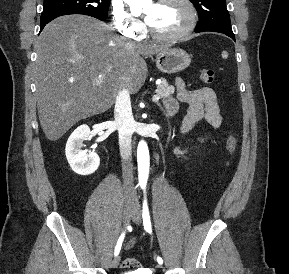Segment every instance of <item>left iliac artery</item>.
<instances>
[{
  "label": "left iliac artery",
  "mask_w": 289,
  "mask_h": 274,
  "mask_svg": "<svg viewBox=\"0 0 289 274\" xmlns=\"http://www.w3.org/2000/svg\"><path fill=\"white\" fill-rule=\"evenodd\" d=\"M144 193H145V191H144ZM142 218H143V225H144L145 231L151 234L152 233V227H151V220H150V214H149L146 195L144 196V201H143ZM157 262L159 264H163L162 258L158 256Z\"/></svg>",
  "instance_id": "1"
}]
</instances>
